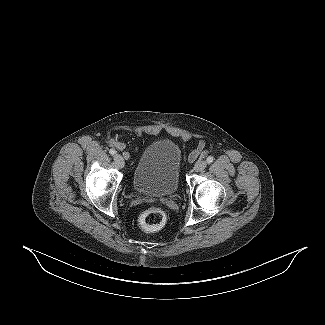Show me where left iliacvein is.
Here are the masks:
<instances>
[{
  "label": "left iliac vein",
  "mask_w": 325,
  "mask_h": 325,
  "mask_svg": "<svg viewBox=\"0 0 325 325\" xmlns=\"http://www.w3.org/2000/svg\"><path fill=\"white\" fill-rule=\"evenodd\" d=\"M206 166H207V162L205 160H199L194 165V171L200 172V171L204 170L206 168Z\"/></svg>",
  "instance_id": "obj_1"
}]
</instances>
